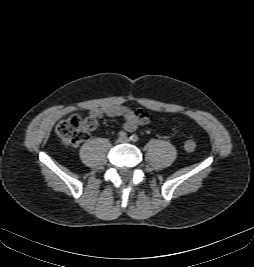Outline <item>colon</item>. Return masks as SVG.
<instances>
[{"label": "colon", "instance_id": "5ec220e1", "mask_svg": "<svg viewBox=\"0 0 254 267\" xmlns=\"http://www.w3.org/2000/svg\"><path fill=\"white\" fill-rule=\"evenodd\" d=\"M97 125V121L91 117L82 118L79 115H71L61 120L56 126L57 135L67 144L78 145L88 139L89 132ZM197 143L188 139L184 143L187 152H194Z\"/></svg>", "mask_w": 254, "mask_h": 267}]
</instances>
